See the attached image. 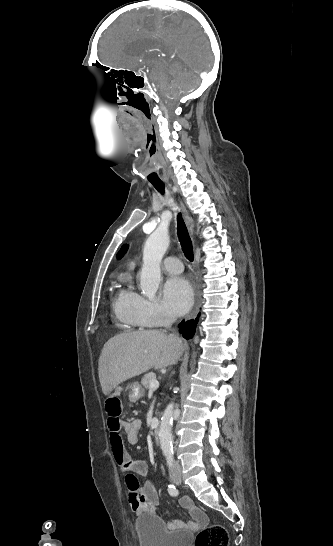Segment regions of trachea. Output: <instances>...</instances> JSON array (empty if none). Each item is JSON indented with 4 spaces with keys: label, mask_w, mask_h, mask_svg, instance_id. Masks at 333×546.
I'll return each mask as SVG.
<instances>
[{
    "label": "trachea",
    "mask_w": 333,
    "mask_h": 546,
    "mask_svg": "<svg viewBox=\"0 0 333 546\" xmlns=\"http://www.w3.org/2000/svg\"><path fill=\"white\" fill-rule=\"evenodd\" d=\"M152 184L158 192H160L161 194H164V189H165L164 184L162 183H152ZM177 233H178L179 241L181 243V247L185 254V257L189 261H193L194 254H193L192 242L188 235L185 222L183 221L180 213L177 216Z\"/></svg>",
    "instance_id": "obj_1"
}]
</instances>
